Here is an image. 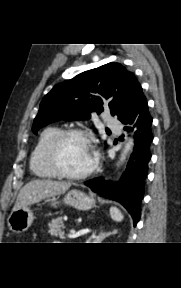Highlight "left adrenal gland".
<instances>
[{"mask_svg":"<svg viewBox=\"0 0 181 288\" xmlns=\"http://www.w3.org/2000/svg\"><path fill=\"white\" fill-rule=\"evenodd\" d=\"M117 232V230H113V231H110V232H101L99 233V235L97 236H93V242L94 243H102V241L108 237L109 235H112V234H115Z\"/></svg>","mask_w":181,"mask_h":288,"instance_id":"left-adrenal-gland-1","label":"left adrenal gland"}]
</instances>
